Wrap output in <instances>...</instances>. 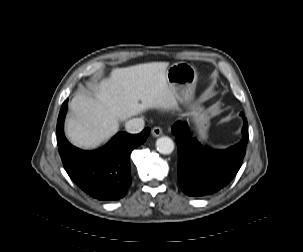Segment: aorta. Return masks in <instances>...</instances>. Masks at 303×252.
Instances as JSON below:
<instances>
[{
  "label": "aorta",
  "mask_w": 303,
  "mask_h": 252,
  "mask_svg": "<svg viewBox=\"0 0 303 252\" xmlns=\"http://www.w3.org/2000/svg\"><path fill=\"white\" fill-rule=\"evenodd\" d=\"M156 148L161 154H171L174 150V142L171 138L163 136L157 139Z\"/></svg>",
  "instance_id": "obj_1"
}]
</instances>
